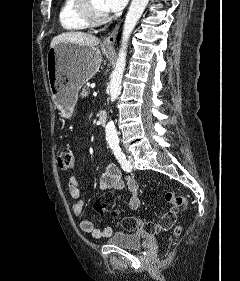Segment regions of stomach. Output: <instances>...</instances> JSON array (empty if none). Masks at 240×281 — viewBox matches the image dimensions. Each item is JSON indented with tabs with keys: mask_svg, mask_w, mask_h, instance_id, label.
<instances>
[{
	"mask_svg": "<svg viewBox=\"0 0 240 281\" xmlns=\"http://www.w3.org/2000/svg\"><path fill=\"white\" fill-rule=\"evenodd\" d=\"M109 46H102L108 50ZM102 55L98 48L70 42L50 47L47 74L51 96L61 111L70 115L80 88L98 71Z\"/></svg>",
	"mask_w": 240,
	"mask_h": 281,
	"instance_id": "stomach-1",
	"label": "stomach"
}]
</instances>
